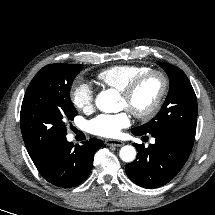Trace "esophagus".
Listing matches in <instances>:
<instances>
[{
  "label": "esophagus",
  "mask_w": 215,
  "mask_h": 215,
  "mask_svg": "<svg viewBox=\"0 0 215 215\" xmlns=\"http://www.w3.org/2000/svg\"><path fill=\"white\" fill-rule=\"evenodd\" d=\"M105 144H106V145H109V146H117V147H120V146H123V145H124V142L119 141V140L107 139V140H105Z\"/></svg>",
  "instance_id": "34e87169"
}]
</instances>
